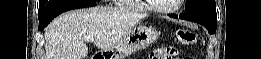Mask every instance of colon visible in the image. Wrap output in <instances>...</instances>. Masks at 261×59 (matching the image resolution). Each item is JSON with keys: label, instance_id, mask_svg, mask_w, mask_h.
Segmentation results:
<instances>
[{"label": "colon", "instance_id": "5ec220e1", "mask_svg": "<svg viewBox=\"0 0 261 59\" xmlns=\"http://www.w3.org/2000/svg\"><path fill=\"white\" fill-rule=\"evenodd\" d=\"M177 39L183 45H193L196 43L197 37L196 34L187 29H178ZM150 58L152 59H175L176 50L172 47H160L155 49Z\"/></svg>", "mask_w": 261, "mask_h": 59}]
</instances>
